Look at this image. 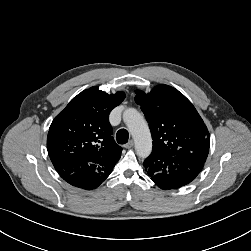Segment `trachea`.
Wrapping results in <instances>:
<instances>
[{"instance_id": "obj_1", "label": "trachea", "mask_w": 251, "mask_h": 251, "mask_svg": "<svg viewBox=\"0 0 251 251\" xmlns=\"http://www.w3.org/2000/svg\"><path fill=\"white\" fill-rule=\"evenodd\" d=\"M116 139L119 144H125L128 142L129 133L126 129H120L116 134Z\"/></svg>"}]
</instances>
